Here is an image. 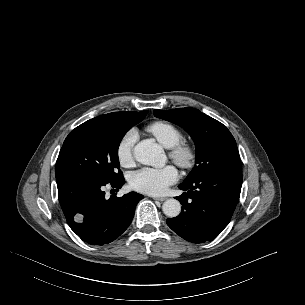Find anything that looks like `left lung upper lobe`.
Masks as SVG:
<instances>
[{
    "label": "left lung upper lobe",
    "instance_id": "left-lung-upper-lobe-1",
    "mask_svg": "<svg viewBox=\"0 0 305 305\" xmlns=\"http://www.w3.org/2000/svg\"><path fill=\"white\" fill-rule=\"evenodd\" d=\"M153 113L158 118L183 127L194 140L195 166L184 183L193 182L221 168L241 165L236 141L219 121L191 107L154 110Z\"/></svg>",
    "mask_w": 305,
    "mask_h": 305
}]
</instances>
